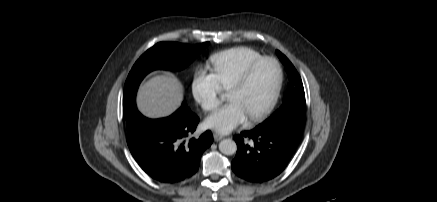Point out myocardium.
Wrapping results in <instances>:
<instances>
[{
    "mask_svg": "<svg viewBox=\"0 0 437 202\" xmlns=\"http://www.w3.org/2000/svg\"><path fill=\"white\" fill-rule=\"evenodd\" d=\"M266 61H270L273 62L277 68V81L275 84V88L273 91V94L269 100V102L266 104V106L260 110L258 113H256L255 115L251 116L248 118V121L250 123H255V122H259L261 120H263L266 116L269 115V113L273 110V108L275 107L280 92H281V88H282V83H283V69L282 66L280 64V62L271 56H262L254 61H252L246 68L245 70L242 72V74L236 79V81L232 84V86L229 88V92L239 89L243 86H245L248 81L250 80L253 72L255 71V69L263 62Z\"/></svg>",
    "mask_w": 437,
    "mask_h": 202,
    "instance_id": "f54148a6",
    "label": "myocardium"
}]
</instances>
